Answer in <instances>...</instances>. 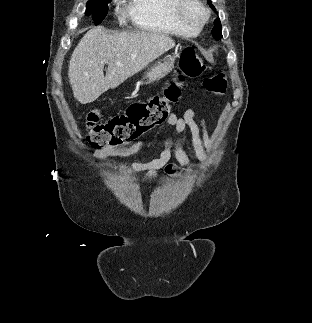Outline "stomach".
Here are the masks:
<instances>
[{
	"label": "stomach",
	"instance_id": "0dacf381",
	"mask_svg": "<svg viewBox=\"0 0 312 323\" xmlns=\"http://www.w3.org/2000/svg\"><path fill=\"white\" fill-rule=\"evenodd\" d=\"M174 62L175 58H172V56L165 58L162 62H157V64L148 68L144 80H147V84H150V82H157L160 78H164V76H167V74L173 70Z\"/></svg>",
	"mask_w": 312,
	"mask_h": 323
}]
</instances>
